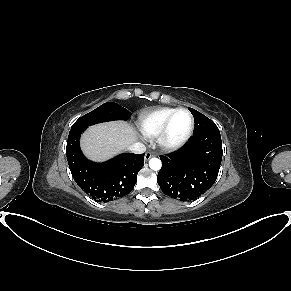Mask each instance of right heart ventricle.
<instances>
[{"mask_svg":"<svg viewBox=\"0 0 291 291\" xmlns=\"http://www.w3.org/2000/svg\"><path fill=\"white\" fill-rule=\"evenodd\" d=\"M175 108L163 107L143 115L139 120V127L146 137H156L164 123Z\"/></svg>","mask_w":291,"mask_h":291,"instance_id":"1","label":"right heart ventricle"}]
</instances>
